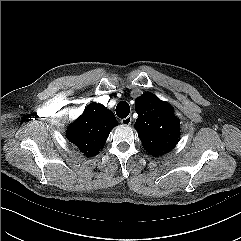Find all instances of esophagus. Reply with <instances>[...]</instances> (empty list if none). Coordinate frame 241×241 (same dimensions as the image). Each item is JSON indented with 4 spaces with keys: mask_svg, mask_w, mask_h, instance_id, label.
<instances>
[{
    "mask_svg": "<svg viewBox=\"0 0 241 241\" xmlns=\"http://www.w3.org/2000/svg\"><path fill=\"white\" fill-rule=\"evenodd\" d=\"M131 122H132V117L131 116H128V117H126V118L121 120V124L125 125V126L130 125Z\"/></svg>",
    "mask_w": 241,
    "mask_h": 241,
    "instance_id": "esophagus-1",
    "label": "esophagus"
}]
</instances>
